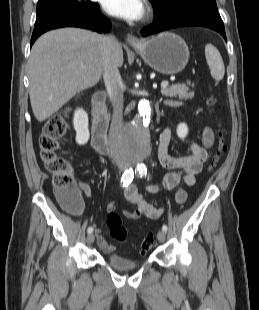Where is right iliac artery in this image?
<instances>
[{
	"mask_svg": "<svg viewBox=\"0 0 259 310\" xmlns=\"http://www.w3.org/2000/svg\"><path fill=\"white\" fill-rule=\"evenodd\" d=\"M134 178V172L133 170L130 168V169H127L123 175H122V178H121V185L123 187L127 186L128 184H130L132 182ZM88 233H92L93 232V228L92 227H89L88 230H87Z\"/></svg>",
	"mask_w": 259,
	"mask_h": 310,
	"instance_id": "right-iliac-artery-1",
	"label": "right iliac artery"
}]
</instances>
